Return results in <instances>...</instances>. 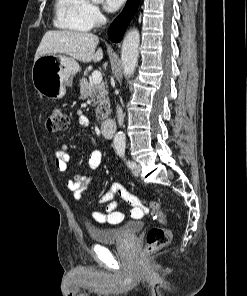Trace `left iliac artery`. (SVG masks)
Segmentation results:
<instances>
[{
  "mask_svg": "<svg viewBox=\"0 0 247 296\" xmlns=\"http://www.w3.org/2000/svg\"><path fill=\"white\" fill-rule=\"evenodd\" d=\"M119 155L124 158V152H120ZM126 165L129 167V168H135L136 167V164L132 161H126Z\"/></svg>",
  "mask_w": 247,
  "mask_h": 296,
  "instance_id": "left-iliac-artery-1",
  "label": "left iliac artery"
}]
</instances>
